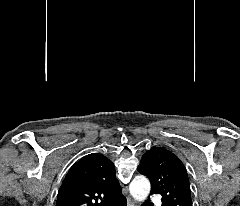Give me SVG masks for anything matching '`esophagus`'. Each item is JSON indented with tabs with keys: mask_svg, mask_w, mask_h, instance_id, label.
I'll use <instances>...</instances> for the list:
<instances>
[{
	"mask_svg": "<svg viewBox=\"0 0 240 206\" xmlns=\"http://www.w3.org/2000/svg\"><path fill=\"white\" fill-rule=\"evenodd\" d=\"M127 206H137V205L130 197H128L127 198Z\"/></svg>",
	"mask_w": 240,
	"mask_h": 206,
	"instance_id": "obj_1",
	"label": "esophagus"
}]
</instances>
